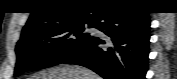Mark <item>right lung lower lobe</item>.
Returning a JSON list of instances; mask_svg holds the SVG:
<instances>
[{
  "label": "right lung lower lobe",
  "mask_w": 177,
  "mask_h": 79,
  "mask_svg": "<svg viewBox=\"0 0 177 79\" xmlns=\"http://www.w3.org/2000/svg\"><path fill=\"white\" fill-rule=\"evenodd\" d=\"M148 14L125 5L102 10L91 21V27L105 36L89 35L61 63L85 66L105 79H145L150 39Z\"/></svg>",
  "instance_id": "obj_1"
}]
</instances>
